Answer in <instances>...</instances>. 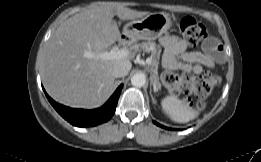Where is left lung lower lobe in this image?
<instances>
[{
    "mask_svg": "<svg viewBox=\"0 0 261 162\" xmlns=\"http://www.w3.org/2000/svg\"><path fill=\"white\" fill-rule=\"evenodd\" d=\"M154 124H156L157 126H159V127H161V128H164V129H166V127L165 126H163V125H161V124H159V123H157V122H155L154 121ZM176 130V129H175Z\"/></svg>",
    "mask_w": 261,
    "mask_h": 162,
    "instance_id": "1",
    "label": "left lung lower lobe"
}]
</instances>
